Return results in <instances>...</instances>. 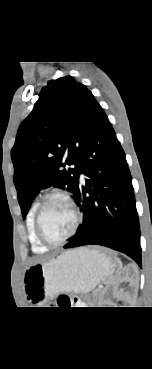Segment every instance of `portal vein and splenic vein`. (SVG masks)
<instances>
[{
	"label": "portal vein and splenic vein",
	"mask_w": 152,
	"mask_h": 369,
	"mask_svg": "<svg viewBox=\"0 0 152 369\" xmlns=\"http://www.w3.org/2000/svg\"><path fill=\"white\" fill-rule=\"evenodd\" d=\"M98 288H99V289H101V288H102V286H99Z\"/></svg>",
	"instance_id": "portal-vein-and-splenic-vein-1"
}]
</instances>
